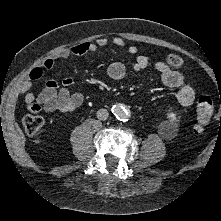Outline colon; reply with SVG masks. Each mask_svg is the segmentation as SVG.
I'll list each match as a JSON object with an SVG mask.
<instances>
[{
	"label": "colon",
	"mask_w": 221,
	"mask_h": 221,
	"mask_svg": "<svg viewBox=\"0 0 221 221\" xmlns=\"http://www.w3.org/2000/svg\"><path fill=\"white\" fill-rule=\"evenodd\" d=\"M165 64L171 69H180L183 66L181 58L175 54H169L165 58ZM213 114L212 99L203 95L198 99L196 108V123L195 129L199 132L204 131L210 123ZM43 118L35 114H27L23 118V127L25 132L35 137V142L40 143V133L43 129Z\"/></svg>",
	"instance_id": "1"
}]
</instances>
